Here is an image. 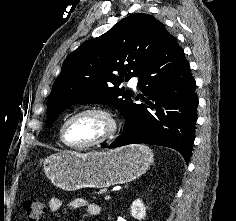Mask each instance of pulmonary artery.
<instances>
[{
    "label": "pulmonary artery",
    "instance_id": "e3ab8cb5",
    "mask_svg": "<svg viewBox=\"0 0 236 221\" xmlns=\"http://www.w3.org/2000/svg\"><path fill=\"white\" fill-rule=\"evenodd\" d=\"M137 85H138V78L137 77L131 78L130 81H129V86L132 89H136Z\"/></svg>",
    "mask_w": 236,
    "mask_h": 221
}]
</instances>
